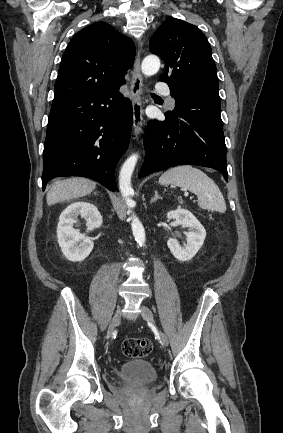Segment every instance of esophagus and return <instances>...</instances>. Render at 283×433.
Segmentation results:
<instances>
[{
	"instance_id": "obj_1",
	"label": "esophagus",
	"mask_w": 283,
	"mask_h": 433,
	"mask_svg": "<svg viewBox=\"0 0 283 433\" xmlns=\"http://www.w3.org/2000/svg\"><path fill=\"white\" fill-rule=\"evenodd\" d=\"M142 42L139 43V50L133 66L132 78H131V99L133 106V129L135 135H139L143 125V108L141 94L143 91V82L141 75L140 66V52L142 48Z\"/></svg>"
}]
</instances>
